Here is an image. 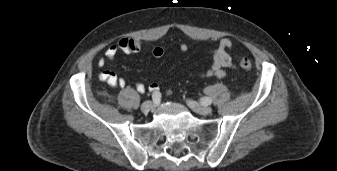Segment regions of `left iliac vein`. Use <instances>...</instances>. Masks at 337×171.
<instances>
[{
  "instance_id": "left-iliac-vein-1",
  "label": "left iliac vein",
  "mask_w": 337,
  "mask_h": 171,
  "mask_svg": "<svg viewBox=\"0 0 337 171\" xmlns=\"http://www.w3.org/2000/svg\"><path fill=\"white\" fill-rule=\"evenodd\" d=\"M187 104L194 112L200 115H210L212 113L211 107L200 105L193 100H187Z\"/></svg>"
}]
</instances>
